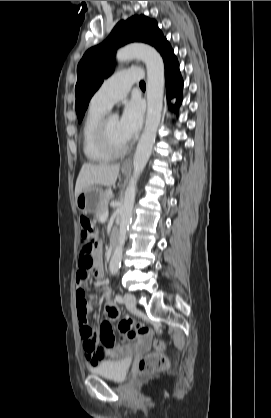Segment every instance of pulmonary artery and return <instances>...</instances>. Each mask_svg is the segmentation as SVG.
Instances as JSON below:
<instances>
[{
	"mask_svg": "<svg viewBox=\"0 0 271 418\" xmlns=\"http://www.w3.org/2000/svg\"><path fill=\"white\" fill-rule=\"evenodd\" d=\"M142 72L137 68L124 69L110 76L96 91L91 103L110 109L117 101L124 98L131 85L139 82Z\"/></svg>",
	"mask_w": 271,
	"mask_h": 418,
	"instance_id": "obj_1",
	"label": "pulmonary artery"
}]
</instances>
